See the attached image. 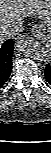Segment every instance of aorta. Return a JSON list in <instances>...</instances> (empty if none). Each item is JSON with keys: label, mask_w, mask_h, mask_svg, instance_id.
I'll list each match as a JSON object with an SVG mask.
<instances>
[{"label": "aorta", "mask_w": 51, "mask_h": 153, "mask_svg": "<svg viewBox=\"0 0 51 153\" xmlns=\"http://www.w3.org/2000/svg\"><path fill=\"white\" fill-rule=\"evenodd\" d=\"M15 48L19 53L26 55L44 56L36 41L29 36L18 38L15 42Z\"/></svg>", "instance_id": "1"}]
</instances>
